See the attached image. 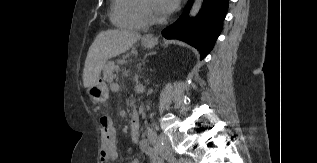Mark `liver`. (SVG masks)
<instances>
[{
    "mask_svg": "<svg viewBox=\"0 0 317 163\" xmlns=\"http://www.w3.org/2000/svg\"><path fill=\"white\" fill-rule=\"evenodd\" d=\"M140 34L110 29L97 34L91 44L83 70L85 88L93 86L100 78L101 70L109 58L126 52L140 39Z\"/></svg>",
    "mask_w": 317,
    "mask_h": 163,
    "instance_id": "liver-1",
    "label": "liver"
}]
</instances>
